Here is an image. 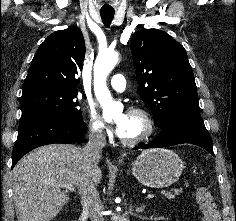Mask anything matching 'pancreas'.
I'll return each mask as SVG.
<instances>
[{
	"label": "pancreas",
	"instance_id": "1",
	"mask_svg": "<svg viewBox=\"0 0 236 221\" xmlns=\"http://www.w3.org/2000/svg\"><path fill=\"white\" fill-rule=\"evenodd\" d=\"M182 192H183L182 189H176L174 190V192L166 191V192H162V194L168 199H173L175 195H180Z\"/></svg>",
	"mask_w": 236,
	"mask_h": 221
}]
</instances>
